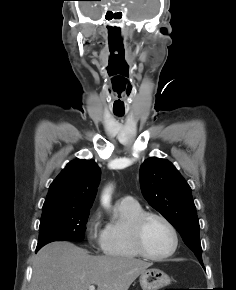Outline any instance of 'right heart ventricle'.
<instances>
[{"label":"right heart ventricle","instance_id":"obj_1","mask_svg":"<svg viewBox=\"0 0 236 290\" xmlns=\"http://www.w3.org/2000/svg\"><path fill=\"white\" fill-rule=\"evenodd\" d=\"M118 218L107 224L102 233L101 248L105 255L134 259L140 255L137 253L131 238V223L143 212L137 202L117 204Z\"/></svg>","mask_w":236,"mask_h":290}]
</instances>
